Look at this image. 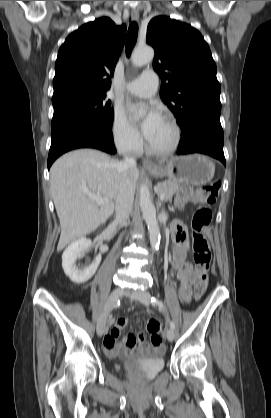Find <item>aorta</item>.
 I'll list each match as a JSON object with an SVG mask.
<instances>
[{
  "label": "aorta",
  "mask_w": 271,
  "mask_h": 418,
  "mask_svg": "<svg viewBox=\"0 0 271 418\" xmlns=\"http://www.w3.org/2000/svg\"><path fill=\"white\" fill-rule=\"evenodd\" d=\"M153 58L154 50L151 47L137 48L132 54V64L141 67L152 61ZM140 207L142 216L148 226L151 247L153 250H157L160 243V231L156 219V209L146 185L140 187Z\"/></svg>",
  "instance_id": "aorta-1"
}]
</instances>
